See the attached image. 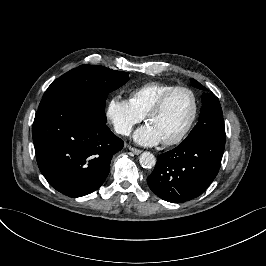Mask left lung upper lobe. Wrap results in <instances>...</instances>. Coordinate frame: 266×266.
Instances as JSON below:
<instances>
[{
  "instance_id": "1",
  "label": "left lung upper lobe",
  "mask_w": 266,
  "mask_h": 266,
  "mask_svg": "<svg viewBox=\"0 0 266 266\" xmlns=\"http://www.w3.org/2000/svg\"><path fill=\"white\" fill-rule=\"evenodd\" d=\"M191 83L199 89L206 90L194 79H191ZM207 135L226 137L222 109L218 98L213 94L203 93L199 122L182 143Z\"/></svg>"
}]
</instances>
